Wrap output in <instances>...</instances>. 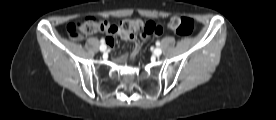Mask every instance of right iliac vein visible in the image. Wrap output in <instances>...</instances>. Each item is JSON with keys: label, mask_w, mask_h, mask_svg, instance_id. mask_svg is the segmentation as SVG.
I'll list each match as a JSON object with an SVG mask.
<instances>
[{"label": "right iliac vein", "mask_w": 276, "mask_h": 120, "mask_svg": "<svg viewBox=\"0 0 276 120\" xmlns=\"http://www.w3.org/2000/svg\"><path fill=\"white\" fill-rule=\"evenodd\" d=\"M105 50H106V46H105V45H101V46H100V51L103 52V51H105Z\"/></svg>", "instance_id": "obj_1"}]
</instances>
